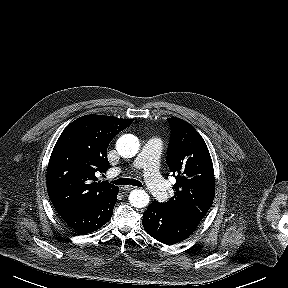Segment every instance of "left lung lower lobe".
Masks as SVG:
<instances>
[{
  "label": "left lung lower lobe",
  "instance_id": "left-lung-lower-lobe-1",
  "mask_svg": "<svg viewBox=\"0 0 288 288\" xmlns=\"http://www.w3.org/2000/svg\"><path fill=\"white\" fill-rule=\"evenodd\" d=\"M142 223L150 236L167 245L185 240L198 226V223L167 210L157 201H153L144 212Z\"/></svg>",
  "mask_w": 288,
  "mask_h": 288
}]
</instances>
